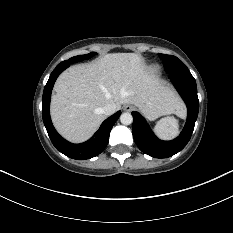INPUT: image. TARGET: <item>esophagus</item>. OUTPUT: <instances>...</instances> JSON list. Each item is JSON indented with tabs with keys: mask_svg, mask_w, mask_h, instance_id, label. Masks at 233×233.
Masks as SVG:
<instances>
[{
	"mask_svg": "<svg viewBox=\"0 0 233 233\" xmlns=\"http://www.w3.org/2000/svg\"><path fill=\"white\" fill-rule=\"evenodd\" d=\"M123 109H124V111H126V112H130V111L133 110V106H132L131 104H125V105L123 106Z\"/></svg>",
	"mask_w": 233,
	"mask_h": 233,
	"instance_id": "34e87169",
	"label": "esophagus"
}]
</instances>
